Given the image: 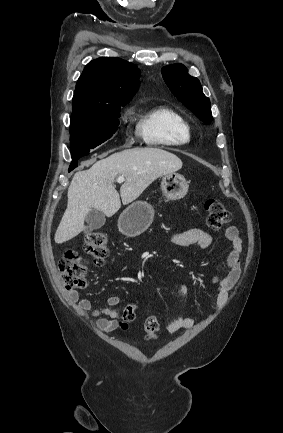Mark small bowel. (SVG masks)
Here are the masks:
<instances>
[{
	"mask_svg": "<svg viewBox=\"0 0 283 433\" xmlns=\"http://www.w3.org/2000/svg\"><path fill=\"white\" fill-rule=\"evenodd\" d=\"M224 237L230 244V250L227 255L226 268L227 272L222 277H214L213 282L217 285L216 304L214 313L220 311L228 302L229 291L233 288L240 277V256L242 251V241L238 230L235 226H228L223 231ZM171 242L180 247L198 245L202 249H207L212 245V236L199 228H193L185 231L173 229L170 236ZM125 266L123 270H126ZM187 292V287L183 286ZM70 299L75 302L78 307L96 318V327L103 332H112L118 327V311L115 306L119 304L118 296H111L107 299V305L94 308L92 303L85 298H80L78 293L73 291L70 293ZM194 325V319L188 315H181L172 320L167 325V330L170 333L179 330H187Z\"/></svg>",
	"mask_w": 283,
	"mask_h": 433,
	"instance_id": "small-bowel-1",
	"label": "small bowel"
}]
</instances>
